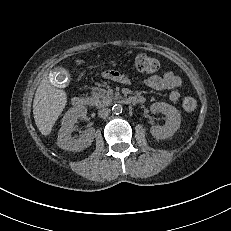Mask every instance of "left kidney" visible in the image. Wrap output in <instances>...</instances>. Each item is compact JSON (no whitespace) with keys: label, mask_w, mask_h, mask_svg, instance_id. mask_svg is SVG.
Listing matches in <instances>:
<instances>
[{"label":"left kidney","mask_w":231,"mask_h":231,"mask_svg":"<svg viewBox=\"0 0 231 231\" xmlns=\"http://www.w3.org/2000/svg\"><path fill=\"white\" fill-rule=\"evenodd\" d=\"M152 112H161L166 116L163 126H152L150 132L156 139H167L173 136L181 124L179 111L172 105L165 102H156L151 105Z\"/></svg>","instance_id":"left-kidney-1"}]
</instances>
